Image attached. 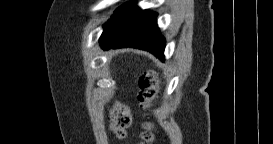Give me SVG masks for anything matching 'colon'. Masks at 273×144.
<instances>
[{
    "instance_id": "colon-1",
    "label": "colon",
    "mask_w": 273,
    "mask_h": 144,
    "mask_svg": "<svg viewBox=\"0 0 273 144\" xmlns=\"http://www.w3.org/2000/svg\"><path fill=\"white\" fill-rule=\"evenodd\" d=\"M158 75L154 72L148 73L144 76L140 84L139 100L142 103H147L153 100L158 92ZM131 121L128 109L125 106L117 105L111 110V129L120 138L126 134ZM145 142H151L153 135L149 131L142 134Z\"/></svg>"
}]
</instances>
